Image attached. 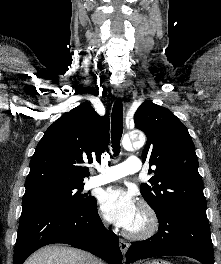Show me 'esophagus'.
<instances>
[{"instance_id": "34e87169", "label": "esophagus", "mask_w": 221, "mask_h": 264, "mask_svg": "<svg viewBox=\"0 0 221 264\" xmlns=\"http://www.w3.org/2000/svg\"><path fill=\"white\" fill-rule=\"evenodd\" d=\"M114 94L117 98H122L123 97V89L121 87H115L114 88ZM119 246H120V250H121L122 254L125 255L127 253L128 248H129V243L123 239H120L119 240Z\"/></svg>"}]
</instances>
